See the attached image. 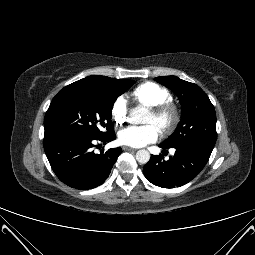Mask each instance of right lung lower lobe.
Instances as JSON below:
<instances>
[{
  "mask_svg": "<svg viewBox=\"0 0 255 255\" xmlns=\"http://www.w3.org/2000/svg\"><path fill=\"white\" fill-rule=\"evenodd\" d=\"M116 138L114 131L100 138L80 134L44 136V150L56 176L66 185L89 190L103 184L122 150L111 148L100 154L92 148ZM98 146V145H97Z\"/></svg>",
  "mask_w": 255,
  "mask_h": 255,
  "instance_id": "obj_1",
  "label": "right lung lower lobe"
}]
</instances>
